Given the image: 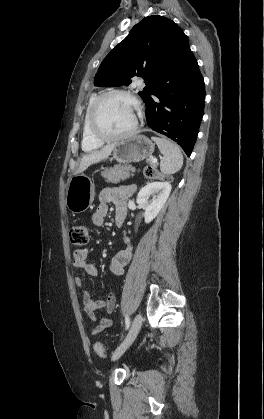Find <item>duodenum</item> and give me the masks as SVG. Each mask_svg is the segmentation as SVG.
<instances>
[{"label":"duodenum","mask_w":264,"mask_h":419,"mask_svg":"<svg viewBox=\"0 0 264 419\" xmlns=\"http://www.w3.org/2000/svg\"><path fill=\"white\" fill-rule=\"evenodd\" d=\"M117 225L118 226H121L122 225V221L120 219L117 221Z\"/></svg>","instance_id":"obj_1"}]
</instances>
